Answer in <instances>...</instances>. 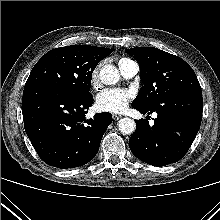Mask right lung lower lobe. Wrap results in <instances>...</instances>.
Segmentation results:
<instances>
[{
  "label": "right lung lower lobe",
  "instance_id": "1",
  "mask_svg": "<svg viewBox=\"0 0 220 220\" xmlns=\"http://www.w3.org/2000/svg\"><path fill=\"white\" fill-rule=\"evenodd\" d=\"M92 103L91 93L76 96L44 87L24 89V128L45 163L67 169L95 157L112 115L105 112L86 119Z\"/></svg>",
  "mask_w": 220,
  "mask_h": 220
}]
</instances>
